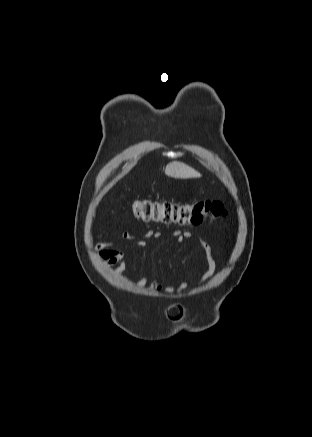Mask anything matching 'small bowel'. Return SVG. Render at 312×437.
<instances>
[{
	"label": "small bowel",
	"mask_w": 312,
	"mask_h": 437,
	"mask_svg": "<svg viewBox=\"0 0 312 437\" xmlns=\"http://www.w3.org/2000/svg\"><path fill=\"white\" fill-rule=\"evenodd\" d=\"M173 235L174 237H176L179 243L192 239V234L188 231L185 232L174 231ZM121 237L126 241L131 242L137 247H144L146 245L147 239H159L161 237V233L159 231L149 230L143 233L141 236H135L127 231H123L121 233ZM199 242L208 255V270L203 275L200 281V283H203L213 273L215 264L211 256V249L209 244L202 238H199ZM95 249L98 252L99 257L104 261L105 266L109 267V266L117 265V269H116L117 274H120L124 270L125 254L123 250L119 247V245L112 242H100L96 244ZM143 284H144L143 280H141L138 283L139 286H142ZM188 285H189L188 282H182L178 287L170 288L169 291H177V292L184 291L188 288ZM151 288L155 290H160L161 286L155 284L151 286Z\"/></svg>",
	"instance_id": "obj_1"
}]
</instances>
